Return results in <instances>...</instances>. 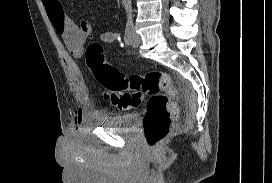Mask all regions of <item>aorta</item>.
Wrapping results in <instances>:
<instances>
[{
  "label": "aorta",
  "mask_w": 272,
  "mask_h": 183,
  "mask_svg": "<svg viewBox=\"0 0 272 183\" xmlns=\"http://www.w3.org/2000/svg\"><path fill=\"white\" fill-rule=\"evenodd\" d=\"M122 3L124 5L126 14H127V20L128 22L132 20V6H131V0H122Z\"/></svg>",
  "instance_id": "1"
}]
</instances>
